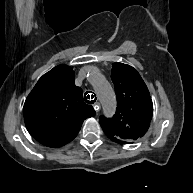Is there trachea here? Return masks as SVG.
<instances>
[{
    "mask_svg": "<svg viewBox=\"0 0 193 193\" xmlns=\"http://www.w3.org/2000/svg\"><path fill=\"white\" fill-rule=\"evenodd\" d=\"M91 91L85 93V102L88 104H94V102L96 101V95H90L88 93H90ZM92 93V92H91ZM88 94V95H87ZM87 95V96H86ZM95 96V97H94ZM94 99V100H93Z\"/></svg>",
    "mask_w": 193,
    "mask_h": 193,
    "instance_id": "3493384b",
    "label": "trachea"
}]
</instances>
